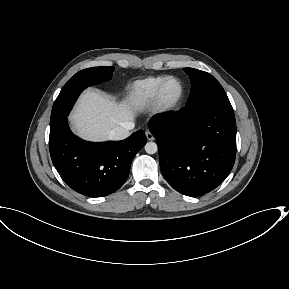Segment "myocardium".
Returning a JSON list of instances; mask_svg holds the SVG:
<instances>
[{"instance_id": "myocardium-1", "label": "myocardium", "mask_w": 289, "mask_h": 289, "mask_svg": "<svg viewBox=\"0 0 289 289\" xmlns=\"http://www.w3.org/2000/svg\"><path fill=\"white\" fill-rule=\"evenodd\" d=\"M169 81H176L179 84L180 91L177 97L173 100H165L163 96L164 88ZM185 94V88L183 82L175 76L166 77L158 86L155 96H154V105L155 108L161 113H167L175 110L182 102Z\"/></svg>"}]
</instances>
